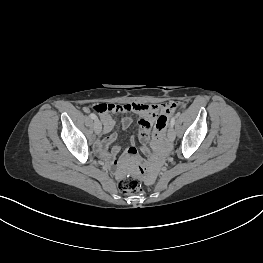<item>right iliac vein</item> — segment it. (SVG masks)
Listing matches in <instances>:
<instances>
[{"mask_svg": "<svg viewBox=\"0 0 263 263\" xmlns=\"http://www.w3.org/2000/svg\"><path fill=\"white\" fill-rule=\"evenodd\" d=\"M102 130V124L101 122L98 120V119H95V122H94V131L96 134H100Z\"/></svg>", "mask_w": 263, "mask_h": 263, "instance_id": "obj_1", "label": "right iliac vein"}]
</instances>
